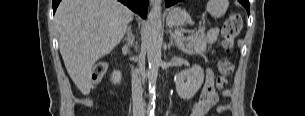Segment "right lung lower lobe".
Here are the masks:
<instances>
[{
    "label": "right lung lower lobe",
    "instance_id": "obj_1",
    "mask_svg": "<svg viewBox=\"0 0 305 116\" xmlns=\"http://www.w3.org/2000/svg\"><path fill=\"white\" fill-rule=\"evenodd\" d=\"M61 0H53V10L56 11ZM141 17L147 16L148 0H119Z\"/></svg>",
    "mask_w": 305,
    "mask_h": 116
}]
</instances>
